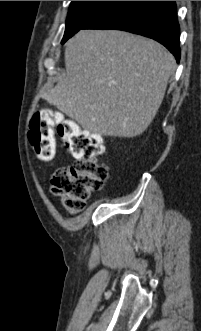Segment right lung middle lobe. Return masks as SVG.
Here are the masks:
<instances>
[{
  "instance_id": "dd1d6c3e",
  "label": "right lung middle lobe",
  "mask_w": 201,
  "mask_h": 331,
  "mask_svg": "<svg viewBox=\"0 0 201 331\" xmlns=\"http://www.w3.org/2000/svg\"><path fill=\"white\" fill-rule=\"evenodd\" d=\"M113 1H72L62 39L65 43Z\"/></svg>"
}]
</instances>
